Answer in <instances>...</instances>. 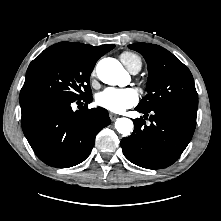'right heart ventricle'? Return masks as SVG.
Returning <instances> with one entry per match:
<instances>
[{"label":"right heart ventricle","instance_id":"obj_1","mask_svg":"<svg viewBox=\"0 0 221 221\" xmlns=\"http://www.w3.org/2000/svg\"><path fill=\"white\" fill-rule=\"evenodd\" d=\"M120 60L129 70L135 66H139L141 68L142 65L140 57L129 51L122 52L120 55Z\"/></svg>","mask_w":221,"mask_h":221}]
</instances>
